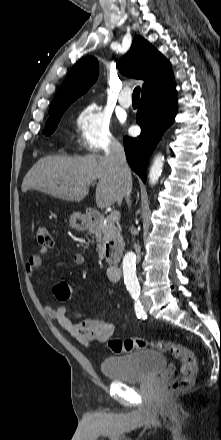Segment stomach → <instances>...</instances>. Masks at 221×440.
I'll return each mask as SVG.
<instances>
[{
  "label": "stomach",
  "instance_id": "obj_1",
  "mask_svg": "<svg viewBox=\"0 0 221 440\" xmlns=\"http://www.w3.org/2000/svg\"><path fill=\"white\" fill-rule=\"evenodd\" d=\"M69 222L70 226L78 231L86 230L92 225L91 219L87 215L81 214L79 212L73 213L70 216Z\"/></svg>",
  "mask_w": 221,
  "mask_h": 440
}]
</instances>
